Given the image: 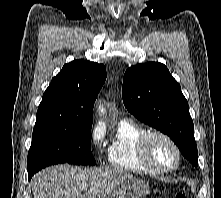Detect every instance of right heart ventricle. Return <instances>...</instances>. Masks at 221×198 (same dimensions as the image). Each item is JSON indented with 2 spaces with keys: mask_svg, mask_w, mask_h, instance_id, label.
<instances>
[{
  "mask_svg": "<svg viewBox=\"0 0 221 198\" xmlns=\"http://www.w3.org/2000/svg\"><path fill=\"white\" fill-rule=\"evenodd\" d=\"M147 130L131 120H121L108 148V162L118 170L154 173L142 164L138 155V141Z\"/></svg>",
  "mask_w": 221,
  "mask_h": 198,
  "instance_id": "e07e8e85",
  "label": "right heart ventricle"
}]
</instances>
